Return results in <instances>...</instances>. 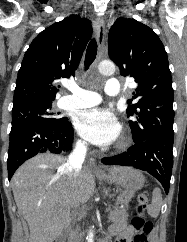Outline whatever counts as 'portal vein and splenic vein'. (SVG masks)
Returning a JSON list of instances; mask_svg holds the SVG:
<instances>
[{
  "label": "portal vein and splenic vein",
  "mask_w": 187,
  "mask_h": 242,
  "mask_svg": "<svg viewBox=\"0 0 187 242\" xmlns=\"http://www.w3.org/2000/svg\"><path fill=\"white\" fill-rule=\"evenodd\" d=\"M109 210H110V208H107V209H106V212H108Z\"/></svg>",
  "instance_id": "portal-vein-and-splenic-vein-1"
}]
</instances>
